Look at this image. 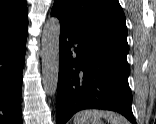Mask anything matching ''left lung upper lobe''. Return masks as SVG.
<instances>
[{"instance_id": "5c2ea615", "label": "left lung upper lobe", "mask_w": 156, "mask_h": 124, "mask_svg": "<svg viewBox=\"0 0 156 124\" xmlns=\"http://www.w3.org/2000/svg\"><path fill=\"white\" fill-rule=\"evenodd\" d=\"M51 13L82 34L129 51L125 15L118 0H55Z\"/></svg>"}]
</instances>
